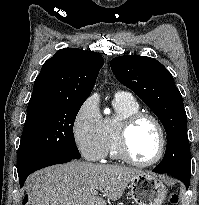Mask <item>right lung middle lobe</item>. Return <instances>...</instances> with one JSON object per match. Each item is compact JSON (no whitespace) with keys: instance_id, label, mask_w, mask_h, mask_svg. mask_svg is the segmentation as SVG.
I'll return each mask as SVG.
<instances>
[{"instance_id":"right-lung-middle-lobe-1","label":"right lung middle lobe","mask_w":199,"mask_h":205,"mask_svg":"<svg viewBox=\"0 0 199 205\" xmlns=\"http://www.w3.org/2000/svg\"><path fill=\"white\" fill-rule=\"evenodd\" d=\"M84 101L52 104L27 112L18 149V174L44 160L79 159L73 126Z\"/></svg>"}]
</instances>
